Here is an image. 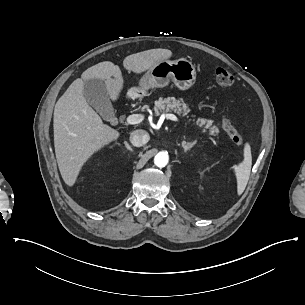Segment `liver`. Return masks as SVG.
I'll return each instance as SVG.
<instances>
[{
    "instance_id": "6515ba94",
    "label": "liver",
    "mask_w": 305,
    "mask_h": 305,
    "mask_svg": "<svg viewBox=\"0 0 305 305\" xmlns=\"http://www.w3.org/2000/svg\"><path fill=\"white\" fill-rule=\"evenodd\" d=\"M171 56L168 49H150L127 56L123 66L128 71L142 73ZM92 78L105 81L113 101L123 88L119 66L104 61L86 69L57 101L54 109L55 154L61 176L68 186L74 185L81 167L94 152L119 137L117 130L103 124L83 96L84 81Z\"/></svg>"
}]
</instances>
